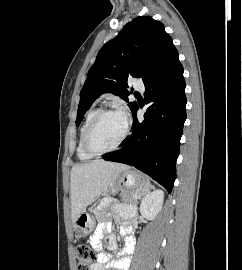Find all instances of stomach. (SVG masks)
<instances>
[{
	"mask_svg": "<svg viewBox=\"0 0 242 270\" xmlns=\"http://www.w3.org/2000/svg\"><path fill=\"white\" fill-rule=\"evenodd\" d=\"M118 181L128 191L140 192L146 185L145 178L138 172L133 170H125L119 174ZM114 191V189H112ZM94 227V220L92 217L84 212L79 215L74 222V231L77 238L87 237Z\"/></svg>",
	"mask_w": 242,
	"mask_h": 270,
	"instance_id": "stomach-1",
	"label": "stomach"
}]
</instances>
